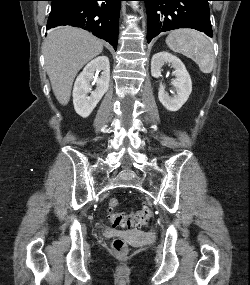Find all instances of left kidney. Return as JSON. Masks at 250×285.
<instances>
[{"label":"left kidney","mask_w":250,"mask_h":285,"mask_svg":"<svg viewBox=\"0 0 250 285\" xmlns=\"http://www.w3.org/2000/svg\"><path fill=\"white\" fill-rule=\"evenodd\" d=\"M166 63H169L174 69L173 74L176 78L171 82V85L175 88V92L170 97L165 91V85L160 84L158 98L168 111L176 112L188 100L192 92V81L182 61L165 51L153 55L151 60V75L154 78H159L162 66Z\"/></svg>","instance_id":"left-kidney-1"}]
</instances>
